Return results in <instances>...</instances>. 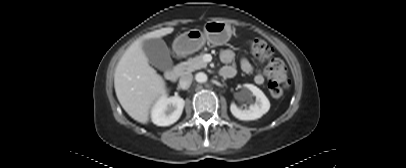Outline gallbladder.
Instances as JSON below:
<instances>
[{
	"label": "gallbladder",
	"mask_w": 406,
	"mask_h": 168,
	"mask_svg": "<svg viewBox=\"0 0 406 168\" xmlns=\"http://www.w3.org/2000/svg\"><path fill=\"white\" fill-rule=\"evenodd\" d=\"M142 48L149 62L161 71L170 70L173 62L170 57V51L161 38L146 39L142 43Z\"/></svg>",
	"instance_id": "bac80fb5"
}]
</instances>
